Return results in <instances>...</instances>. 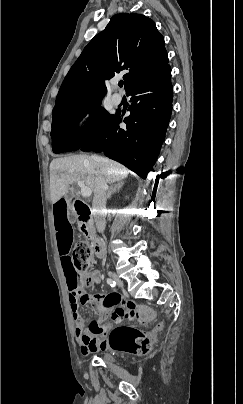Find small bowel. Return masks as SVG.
<instances>
[{
  "instance_id": "obj_1",
  "label": "small bowel",
  "mask_w": 243,
  "mask_h": 404,
  "mask_svg": "<svg viewBox=\"0 0 243 404\" xmlns=\"http://www.w3.org/2000/svg\"><path fill=\"white\" fill-rule=\"evenodd\" d=\"M53 222L61 265L69 290V302L75 324V335L80 344L81 353L88 355L98 350H104L108 345L106 334L111 327L110 321L102 323V318L105 315H109L112 321L121 322L123 320H141L143 314L138 312L136 306L131 302L120 305L121 297L116 292L90 297L80 285L74 286L76 276L73 272L70 254L73 229L67 212L66 201L63 198L58 199L53 204ZM99 281L100 274L98 271H94L87 284L95 285ZM79 303H92L98 313V318L91 321L88 329L84 328L83 321L78 313Z\"/></svg>"
}]
</instances>
